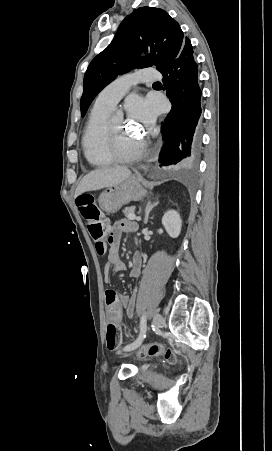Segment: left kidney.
I'll return each instance as SVG.
<instances>
[{
  "label": "left kidney",
  "mask_w": 272,
  "mask_h": 451,
  "mask_svg": "<svg viewBox=\"0 0 272 451\" xmlns=\"http://www.w3.org/2000/svg\"><path fill=\"white\" fill-rule=\"evenodd\" d=\"M162 224L171 237H178L182 226V220L178 212H175V210L166 212L162 218Z\"/></svg>",
  "instance_id": "1"
}]
</instances>
